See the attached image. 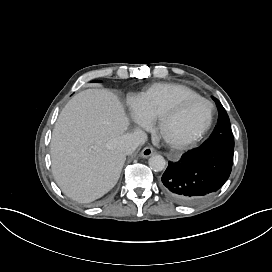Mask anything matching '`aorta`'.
Instances as JSON below:
<instances>
[{"label":"aorta","mask_w":272,"mask_h":272,"mask_svg":"<svg viewBox=\"0 0 272 272\" xmlns=\"http://www.w3.org/2000/svg\"><path fill=\"white\" fill-rule=\"evenodd\" d=\"M148 164L152 170L159 172L165 168L166 162L163 156L153 155L149 158Z\"/></svg>","instance_id":"obj_1"}]
</instances>
